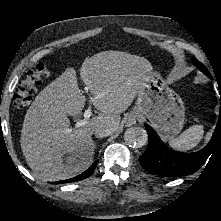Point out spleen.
<instances>
[{"label":"spleen","instance_id":"3e777b00","mask_svg":"<svg viewBox=\"0 0 221 221\" xmlns=\"http://www.w3.org/2000/svg\"><path fill=\"white\" fill-rule=\"evenodd\" d=\"M203 134L204 128L202 125H193L181 133L177 138L171 139L169 145L175 150L187 151L197 146L203 138Z\"/></svg>","mask_w":221,"mask_h":221}]
</instances>
